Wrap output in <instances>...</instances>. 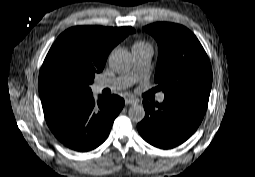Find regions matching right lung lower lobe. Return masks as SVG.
<instances>
[{
  "label": "right lung lower lobe",
  "mask_w": 255,
  "mask_h": 177,
  "mask_svg": "<svg viewBox=\"0 0 255 177\" xmlns=\"http://www.w3.org/2000/svg\"><path fill=\"white\" fill-rule=\"evenodd\" d=\"M46 122L67 147L85 152L102 144L124 100L113 95L95 100L92 91L42 100Z\"/></svg>",
  "instance_id": "right-lung-lower-lobe-1"
}]
</instances>
